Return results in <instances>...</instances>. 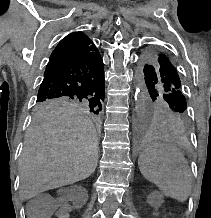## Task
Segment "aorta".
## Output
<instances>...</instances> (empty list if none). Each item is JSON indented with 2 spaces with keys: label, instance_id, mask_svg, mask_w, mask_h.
Here are the masks:
<instances>
[{
  "label": "aorta",
  "instance_id": "aorta-1",
  "mask_svg": "<svg viewBox=\"0 0 211 218\" xmlns=\"http://www.w3.org/2000/svg\"><path fill=\"white\" fill-rule=\"evenodd\" d=\"M143 98V90L137 86L135 93V111L137 115H140V110L142 109V99Z\"/></svg>",
  "mask_w": 211,
  "mask_h": 218
}]
</instances>
